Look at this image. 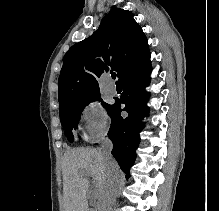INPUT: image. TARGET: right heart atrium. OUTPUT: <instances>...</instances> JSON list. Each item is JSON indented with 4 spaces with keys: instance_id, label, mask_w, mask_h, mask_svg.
Listing matches in <instances>:
<instances>
[{
    "instance_id": "obj_1",
    "label": "right heart atrium",
    "mask_w": 219,
    "mask_h": 211,
    "mask_svg": "<svg viewBox=\"0 0 219 211\" xmlns=\"http://www.w3.org/2000/svg\"><path fill=\"white\" fill-rule=\"evenodd\" d=\"M81 119L85 127V139L95 142L107 132L109 117L98 101H91L81 111Z\"/></svg>"
}]
</instances>
